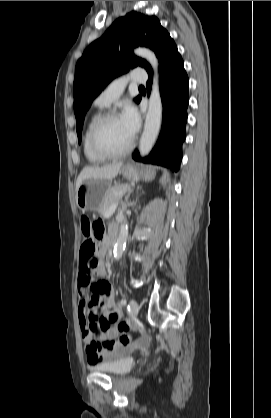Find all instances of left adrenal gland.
I'll return each mask as SVG.
<instances>
[{
    "label": "left adrenal gland",
    "instance_id": "1",
    "mask_svg": "<svg viewBox=\"0 0 271 418\" xmlns=\"http://www.w3.org/2000/svg\"><path fill=\"white\" fill-rule=\"evenodd\" d=\"M142 187L141 186H138L137 187V190H139V189H141ZM132 192V191H131ZM130 192V193H131ZM130 193L128 194V196L126 197V200H125V204L124 205H127L128 204V198H129V196H130Z\"/></svg>",
    "mask_w": 271,
    "mask_h": 418
}]
</instances>
